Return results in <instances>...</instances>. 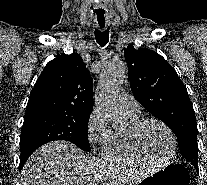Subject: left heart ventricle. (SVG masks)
<instances>
[{"label": "left heart ventricle", "mask_w": 207, "mask_h": 185, "mask_svg": "<svg viewBox=\"0 0 207 185\" xmlns=\"http://www.w3.org/2000/svg\"><path fill=\"white\" fill-rule=\"evenodd\" d=\"M141 137L148 153L154 158H166L172 151L171 137L158 123H148L143 129Z\"/></svg>", "instance_id": "1"}]
</instances>
